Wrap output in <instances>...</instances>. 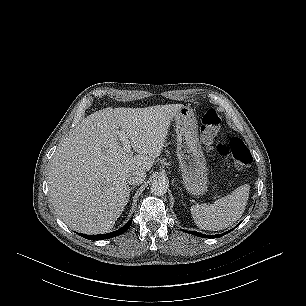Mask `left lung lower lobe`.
I'll list each match as a JSON object with an SVG mask.
<instances>
[{"instance_id":"obj_1","label":"left lung lower lobe","mask_w":306,"mask_h":306,"mask_svg":"<svg viewBox=\"0 0 306 306\" xmlns=\"http://www.w3.org/2000/svg\"><path fill=\"white\" fill-rule=\"evenodd\" d=\"M240 224V223H239ZM238 224V225H239ZM237 225V226H238ZM236 226V227H237ZM187 233H190V234H192V235H195V236H199V237H204V238H219V237H221V236H223V235H225L226 233H229L230 231H228V232H225V233H223V234H217V235H205V234H201V233H198V232H192V231H186Z\"/></svg>"}]
</instances>
